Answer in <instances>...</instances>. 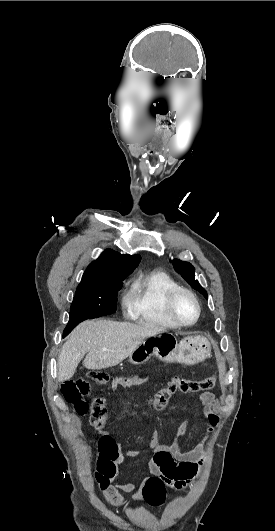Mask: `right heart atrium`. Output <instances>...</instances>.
Returning <instances> with one entry per match:
<instances>
[{
  "label": "right heart atrium",
  "instance_id": "obj_1",
  "mask_svg": "<svg viewBox=\"0 0 275 531\" xmlns=\"http://www.w3.org/2000/svg\"><path fill=\"white\" fill-rule=\"evenodd\" d=\"M122 305L124 309L128 312H132L135 305V297H134V289L128 288L123 297H122Z\"/></svg>",
  "mask_w": 275,
  "mask_h": 531
}]
</instances>
